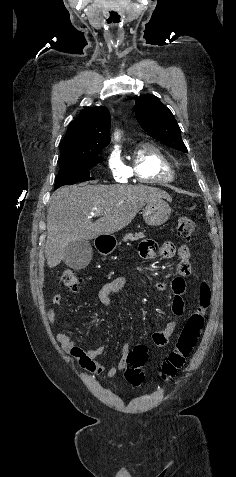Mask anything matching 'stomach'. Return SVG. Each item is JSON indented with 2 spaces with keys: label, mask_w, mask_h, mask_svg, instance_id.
I'll use <instances>...</instances> for the list:
<instances>
[{
  "label": "stomach",
  "mask_w": 236,
  "mask_h": 477,
  "mask_svg": "<svg viewBox=\"0 0 236 477\" xmlns=\"http://www.w3.org/2000/svg\"><path fill=\"white\" fill-rule=\"evenodd\" d=\"M171 213V208L167 202L162 199H158L146 204L143 208V219L146 224L150 226H159L165 223ZM117 243L115 239H111L110 244L105 248L101 249L103 254H110L116 248Z\"/></svg>",
  "instance_id": "obj_1"
}]
</instances>
